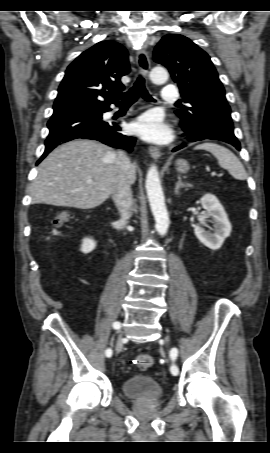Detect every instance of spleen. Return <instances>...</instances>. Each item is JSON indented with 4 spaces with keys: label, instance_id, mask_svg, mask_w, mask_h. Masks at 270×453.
<instances>
[{
    "label": "spleen",
    "instance_id": "1",
    "mask_svg": "<svg viewBox=\"0 0 270 453\" xmlns=\"http://www.w3.org/2000/svg\"><path fill=\"white\" fill-rule=\"evenodd\" d=\"M196 150L210 152L218 161V164L228 170L237 180L247 179V173L243 164L229 149L216 143H203L195 147Z\"/></svg>",
    "mask_w": 270,
    "mask_h": 453
}]
</instances>
